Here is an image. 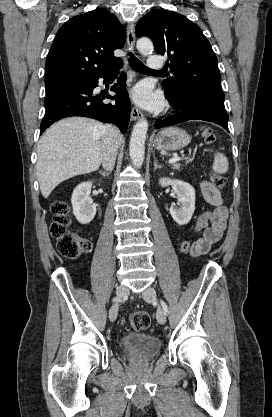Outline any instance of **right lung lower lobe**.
I'll return each instance as SVG.
<instances>
[{
  "label": "right lung lower lobe",
  "instance_id": "98d812e1",
  "mask_svg": "<svg viewBox=\"0 0 272 417\" xmlns=\"http://www.w3.org/2000/svg\"><path fill=\"white\" fill-rule=\"evenodd\" d=\"M119 67L120 64L103 74L58 88L47 95L44 101L46 113L40 126L41 134L54 122L70 116H84L102 122H112L120 128L122 133H125L131 110L125 88V74L122 73L117 83L111 88L116 93L115 96L93 93L94 88L98 86V79L104 78V81L111 82ZM107 98L114 99L116 102H103Z\"/></svg>",
  "mask_w": 272,
  "mask_h": 417
}]
</instances>
